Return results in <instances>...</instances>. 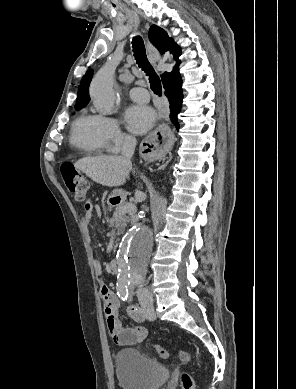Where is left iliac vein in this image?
<instances>
[{
  "label": "left iliac vein",
  "instance_id": "1",
  "mask_svg": "<svg viewBox=\"0 0 296 389\" xmlns=\"http://www.w3.org/2000/svg\"><path fill=\"white\" fill-rule=\"evenodd\" d=\"M141 307H142V319L146 318L148 320H155L156 319V314L154 311V306L153 302L150 300H145L141 302Z\"/></svg>",
  "mask_w": 296,
  "mask_h": 389
}]
</instances>
